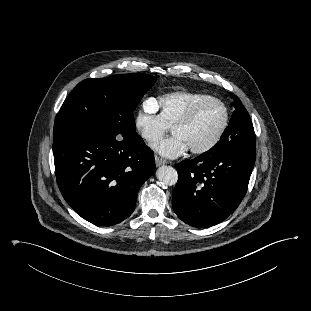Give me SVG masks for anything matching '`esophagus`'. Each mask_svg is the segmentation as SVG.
<instances>
[{
    "instance_id": "esophagus-1",
    "label": "esophagus",
    "mask_w": 311,
    "mask_h": 311,
    "mask_svg": "<svg viewBox=\"0 0 311 311\" xmlns=\"http://www.w3.org/2000/svg\"><path fill=\"white\" fill-rule=\"evenodd\" d=\"M155 162H156V166H161V165L168 163V161H166L165 159H162L158 156H155Z\"/></svg>"
}]
</instances>
